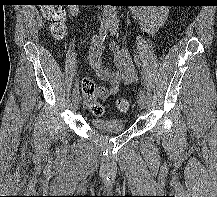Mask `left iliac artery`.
Listing matches in <instances>:
<instances>
[{
	"label": "left iliac artery",
	"mask_w": 217,
	"mask_h": 197,
	"mask_svg": "<svg viewBox=\"0 0 217 197\" xmlns=\"http://www.w3.org/2000/svg\"><path fill=\"white\" fill-rule=\"evenodd\" d=\"M118 30V22L117 21H111L110 23V34L112 36H115ZM134 61L139 67H143L147 65V59L144 56L135 55Z\"/></svg>",
	"instance_id": "1"
}]
</instances>
